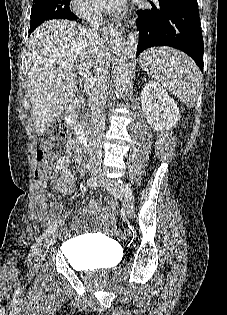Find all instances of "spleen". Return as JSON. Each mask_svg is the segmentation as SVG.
I'll return each mask as SVG.
<instances>
[{"label":"spleen","mask_w":227,"mask_h":315,"mask_svg":"<svg viewBox=\"0 0 227 315\" xmlns=\"http://www.w3.org/2000/svg\"><path fill=\"white\" fill-rule=\"evenodd\" d=\"M140 66L187 106L195 104L202 78L198 67L189 57L167 47L149 49L141 55Z\"/></svg>","instance_id":"obj_1"}]
</instances>
